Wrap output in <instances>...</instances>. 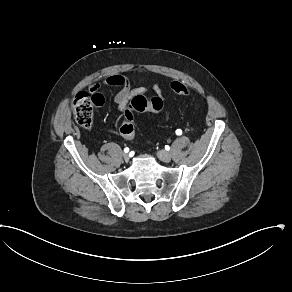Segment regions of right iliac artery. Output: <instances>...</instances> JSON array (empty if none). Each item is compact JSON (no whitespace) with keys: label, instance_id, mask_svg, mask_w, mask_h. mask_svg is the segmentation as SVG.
Here are the masks:
<instances>
[{"label":"right iliac artery","instance_id":"1","mask_svg":"<svg viewBox=\"0 0 292 292\" xmlns=\"http://www.w3.org/2000/svg\"><path fill=\"white\" fill-rule=\"evenodd\" d=\"M128 151H129V148L126 147V148L124 149V152L127 153Z\"/></svg>","mask_w":292,"mask_h":292}]
</instances>
